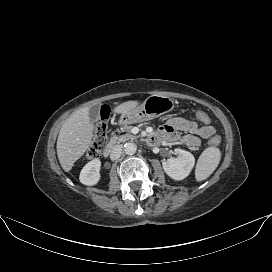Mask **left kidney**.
Returning <instances> with one entry per match:
<instances>
[{
  "label": "left kidney",
  "mask_w": 272,
  "mask_h": 272,
  "mask_svg": "<svg viewBox=\"0 0 272 272\" xmlns=\"http://www.w3.org/2000/svg\"><path fill=\"white\" fill-rule=\"evenodd\" d=\"M177 158H169L163 162L165 173L176 181L185 179L191 172L195 164L194 156L183 149H175Z\"/></svg>",
  "instance_id": "obj_1"
}]
</instances>
